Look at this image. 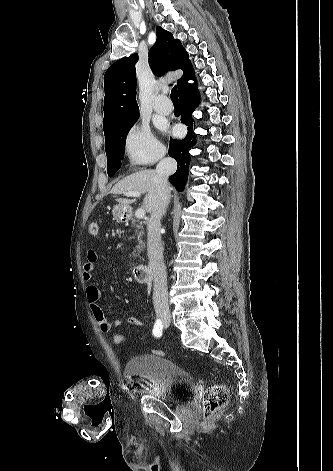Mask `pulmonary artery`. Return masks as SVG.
I'll return each instance as SVG.
<instances>
[{"label":"pulmonary artery","instance_id":"pulmonary-artery-1","mask_svg":"<svg viewBox=\"0 0 333 471\" xmlns=\"http://www.w3.org/2000/svg\"><path fill=\"white\" fill-rule=\"evenodd\" d=\"M154 109L160 114L167 115L173 111V105L164 94H160L155 99Z\"/></svg>","mask_w":333,"mask_h":471}]
</instances>
